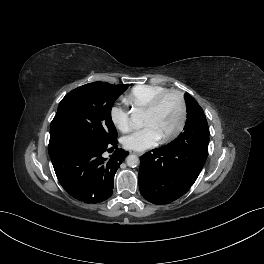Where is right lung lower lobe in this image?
Returning a JSON list of instances; mask_svg holds the SVG:
<instances>
[{
	"label": "right lung lower lobe",
	"mask_w": 264,
	"mask_h": 264,
	"mask_svg": "<svg viewBox=\"0 0 264 264\" xmlns=\"http://www.w3.org/2000/svg\"><path fill=\"white\" fill-rule=\"evenodd\" d=\"M109 143L70 138L49 145L56 176L62 187L74 198L85 203H98L112 195L114 175L128 152L117 149L110 159L105 151L117 147Z\"/></svg>",
	"instance_id": "98d812e1"
}]
</instances>
